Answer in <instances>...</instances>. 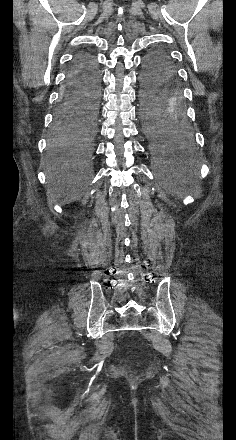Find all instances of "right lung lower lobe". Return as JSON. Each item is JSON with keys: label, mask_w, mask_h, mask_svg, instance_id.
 <instances>
[{"label": "right lung lower lobe", "mask_w": 236, "mask_h": 440, "mask_svg": "<svg viewBox=\"0 0 236 440\" xmlns=\"http://www.w3.org/2000/svg\"><path fill=\"white\" fill-rule=\"evenodd\" d=\"M97 81L100 83L99 68L90 53L79 54L70 67L67 81L63 88L61 105L54 120V130L74 129L80 122L81 110L85 101L81 98V90L86 84Z\"/></svg>", "instance_id": "98d812e1"}]
</instances>
